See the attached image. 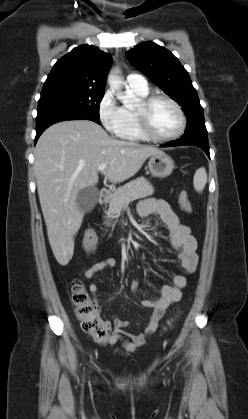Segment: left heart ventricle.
I'll list each match as a JSON object with an SVG mask.
<instances>
[{"label": "left heart ventricle", "mask_w": 248, "mask_h": 419, "mask_svg": "<svg viewBox=\"0 0 248 419\" xmlns=\"http://www.w3.org/2000/svg\"><path fill=\"white\" fill-rule=\"evenodd\" d=\"M151 130L158 136H168L177 131L180 119L175 108L164 100L154 102L148 110Z\"/></svg>", "instance_id": "1"}]
</instances>
